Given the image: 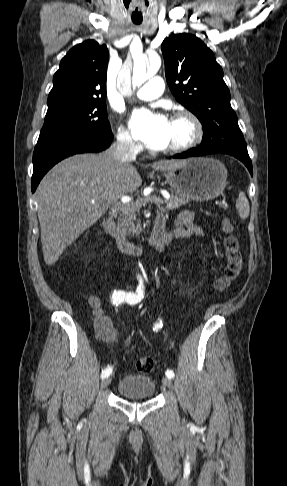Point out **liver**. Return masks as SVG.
I'll list each match as a JSON object with an SVG mask.
<instances>
[{
	"label": "liver",
	"mask_w": 287,
	"mask_h": 486,
	"mask_svg": "<svg viewBox=\"0 0 287 486\" xmlns=\"http://www.w3.org/2000/svg\"><path fill=\"white\" fill-rule=\"evenodd\" d=\"M182 161L163 160L152 168L169 171ZM141 184L135 166L114 159L109 150L101 154H77L55 165L36 190L45 263L55 264L63 251L111 205Z\"/></svg>",
	"instance_id": "6515ba94"
}]
</instances>
